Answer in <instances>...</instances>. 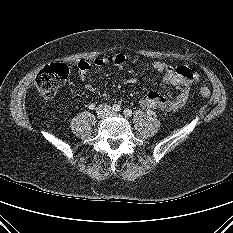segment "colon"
I'll use <instances>...</instances> for the list:
<instances>
[{
  "instance_id": "5ec220e1",
  "label": "colon",
  "mask_w": 233,
  "mask_h": 233,
  "mask_svg": "<svg viewBox=\"0 0 233 233\" xmlns=\"http://www.w3.org/2000/svg\"><path fill=\"white\" fill-rule=\"evenodd\" d=\"M68 74L69 68L64 63H53L44 67L35 79L39 94L45 98H52L66 81ZM199 93L203 98L210 96V90L207 87H201Z\"/></svg>"
}]
</instances>
